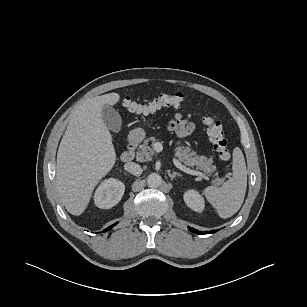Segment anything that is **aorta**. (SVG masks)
Masks as SVG:
<instances>
[{"instance_id": "1", "label": "aorta", "mask_w": 307, "mask_h": 307, "mask_svg": "<svg viewBox=\"0 0 307 307\" xmlns=\"http://www.w3.org/2000/svg\"><path fill=\"white\" fill-rule=\"evenodd\" d=\"M162 179L159 174L151 173L147 177V185L151 188H158L161 185Z\"/></svg>"}]
</instances>
